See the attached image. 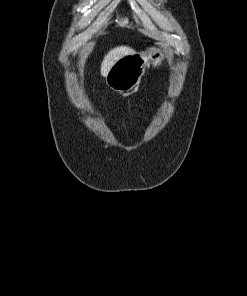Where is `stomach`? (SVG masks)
<instances>
[{
  "label": "stomach",
  "mask_w": 247,
  "mask_h": 296,
  "mask_svg": "<svg viewBox=\"0 0 247 296\" xmlns=\"http://www.w3.org/2000/svg\"><path fill=\"white\" fill-rule=\"evenodd\" d=\"M164 57V53L157 47L128 54L117 60L110 68L105 76L106 85L120 93L131 91L140 83L146 66L150 62L154 65L160 64Z\"/></svg>",
  "instance_id": "obj_1"
}]
</instances>
